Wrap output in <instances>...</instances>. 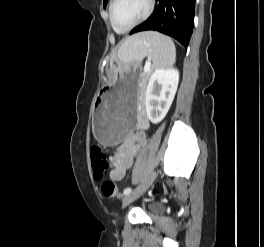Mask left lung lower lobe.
Returning a JSON list of instances; mask_svg holds the SVG:
<instances>
[{
    "label": "left lung lower lobe",
    "mask_w": 264,
    "mask_h": 247,
    "mask_svg": "<svg viewBox=\"0 0 264 247\" xmlns=\"http://www.w3.org/2000/svg\"><path fill=\"white\" fill-rule=\"evenodd\" d=\"M195 0H156L153 14L130 35L153 30L169 35L188 47L193 32Z\"/></svg>",
    "instance_id": "obj_1"
}]
</instances>
